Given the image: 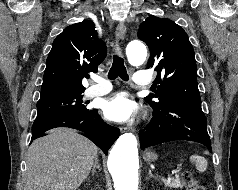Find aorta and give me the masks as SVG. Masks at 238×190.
<instances>
[{
	"label": "aorta",
	"mask_w": 238,
	"mask_h": 190,
	"mask_svg": "<svg viewBox=\"0 0 238 190\" xmlns=\"http://www.w3.org/2000/svg\"><path fill=\"white\" fill-rule=\"evenodd\" d=\"M129 62L141 65L147 57L146 46L139 40L131 41L126 48ZM132 133L121 135L110 151L108 168L114 180L115 190H138V148Z\"/></svg>",
	"instance_id": "762f6f07"
}]
</instances>
